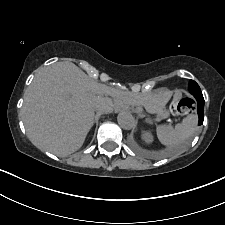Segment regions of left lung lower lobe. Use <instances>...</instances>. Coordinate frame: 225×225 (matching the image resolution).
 <instances>
[{"mask_svg": "<svg viewBox=\"0 0 225 225\" xmlns=\"http://www.w3.org/2000/svg\"><path fill=\"white\" fill-rule=\"evenodd\" d=\"M195 99L198 104V110H197L198 116H199L198 125H202L204 120V98L203 96H195Z\"/></svg>", "mask_w": 225, "mask_h": 225, "instance_id": "0a47b994", "label": "left lung lower lobe"}]
</instances>
